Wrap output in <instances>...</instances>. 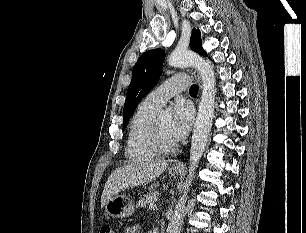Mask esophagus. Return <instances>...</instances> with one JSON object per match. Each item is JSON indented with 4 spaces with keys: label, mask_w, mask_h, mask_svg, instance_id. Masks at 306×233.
Instances as JSON below:
<instances>
[{
    "label": "esophagus",
    "mask_w": 306,
    "mask_h": 233,
    "mask_svg": "<svg viewBox=\"0 0 306 233\" xmlns=\"http://www.w3.org/2000/svg\"><path fill=\"white\" fill-rule=\"evenodd\" d=\"M193 75L197 79V81H198V83L200 85V90H201V78H200V75H199L198 71L197 70H193ZM182 166L183 165L181 163H179V162H175V163L172 164L173 168H180Z\"/></svg>",
    "instance_id": "esophagus-1"
}]
</instances>
